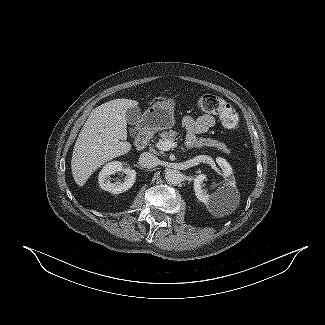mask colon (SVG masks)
<instances>
[{"label":"colon","mask_w":325,"mask_h":325,"mask_svg":"<svg viewBox=\"0 0 325 325\" xmlns=\"http://www.w3.org/2000/svg\"><path fill=\"white\" fill-rule=\"evenodd\" d=\"M197 107L202 111L216 114L227 129H236L239 126L240 119L237 111L217 95L206 94L199 97Z\"/></svg>","instance_id":"5ec220e1"}]
</instances>
